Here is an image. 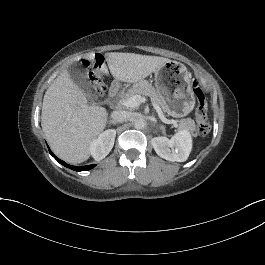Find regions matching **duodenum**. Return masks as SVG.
Here are the masks:
<instances>
[{"label": "duodenum", "instance_id": "duodenum-1", "mask_svg": "<svg viewBox=\"0 0 265 265\" xmlns=\"http://www.w3.org/2000/svg\"><path fill=\"white\" fill-rule=\"evenodd\" d=\"M118 89H119V84L114 83L110 88V96H115L118 92Z\"/></svg>", "mask_w": 265, "mask_h": 265}]
</instances>
